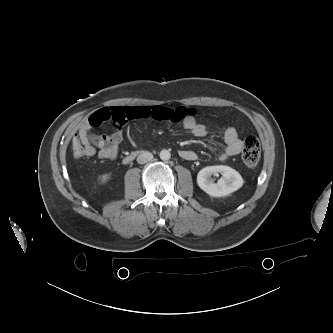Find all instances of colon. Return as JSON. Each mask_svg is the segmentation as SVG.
Masks as SVG:
<instances>
[{
	"mask_svg": "<svg viewBox=\"0 0 333 333\" xmlns=\"http://www.w3.org/2000/svg\"><path fill=\"white\" fill-rule=\"evenodd\" d=\"M72 151L75 158L85 156L84 147L78 137L72 141ZM261 146L258 138L254 135H247L243 140L242 159L247 166H255L260 159Z\"/></svg>",
	"mask_w": 333,
	"mask_h": 333,
	"instance_id": "obj_1",
	"label": "colon"
}]
</instances>
